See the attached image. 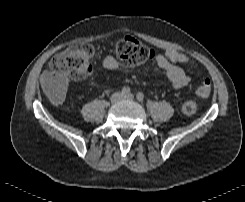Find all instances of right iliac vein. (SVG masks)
<instances>
[{
  "label": "right iliac vein",
  "mask_w": 245,
  "mask_h": 202,
  "mask_svg": "<svg viewBox=\"0 0 245 202\" xmlns=\"http://www.w3.org/2000/svg\"><path fill=\"white\" fill-rule=\"evenodd\" d=\"M122 98H123L122 93L116 92V93H114V94L111 96V99H110V100H111V102L114 104V103H117V102L121 101Z\"/></svg>",
  "instance_id": "1"
}]
</instances>
